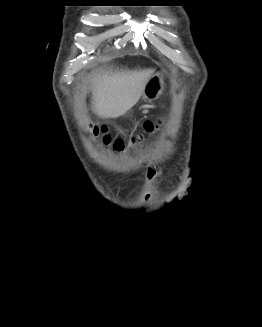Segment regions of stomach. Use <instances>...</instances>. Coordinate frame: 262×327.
<instances>
[{"label": "stomach", "mask_w": 262, "mask_h": 327, "mask_svg": "<svg viewBox=\"0 0 262 327\" xmlns=\"http://www.w3.org/2000/svg\"><path fill=\"white\" fill-rule=\"evenodd\" d=\"M164 85V74L162 72L155 73L146 83L142 99L149 103L158 99L162 94Z\"/></svg>", "instance_id": "1"}]
</instances>
